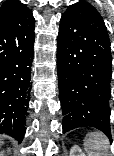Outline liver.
I'll use <instances>...</instances> for the list:
<instances>
[{
  "instance_id": "obj_1",
  "label": "liver",
  "mask_w": 114,
  "mask_h": 156,
  "mask_svg": "<svg viewBox=\"0 0 114 156\" xmlns=\"http://www.w3.org/2000/svg\"><path fill=\"white\" fill-rule=\"evenodd\" d=\"M4 135H0V147L3 145V143H4Z\"/></svg>"
}]
</instances>
